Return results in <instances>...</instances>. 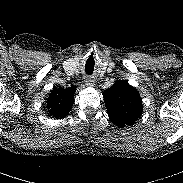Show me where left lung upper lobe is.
<instances>
[{
	"instance_id": "obj_1",
	"label": "left lung upper lobe",
	"mask_w": 183,
	"mask_h": 183,
	"mask_svg": "<svg viewBox=\"0 0 183 183\" xmlns=\"http://www.w3.org/2000/svg\"><path fill=\"white\" fill-rule=\"evenodd\" d=\"M110 120L120 126L132 125L142 114V99L136 88L127 81H116L103 92Z\"/></svg>"
}]
</instances>
